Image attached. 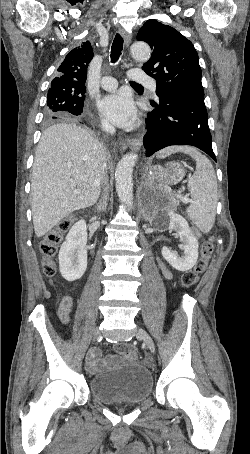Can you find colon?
Instances as JSON below:
<instances>
[{
  "mask_svg": "<svg viewBox=\"0 0 250 454\" xmlns=\"http://www.w3.org/2000/svg\"><path fill=\"white\" fill-rule=\"evenodd\" d=\"M72 224V219L68 218L61 222L57 227L50 230L45 238L40 242V252L45 259L44 273L47 276L55 274V265L52 259L58 251L59 244L63 238L64 232L69 229ZM215 242L213 239L207 240L202 244L200 256L195 266L186 271L181 277V286L183 288L193 287L199 280L200 276L205 272L208 267L209 260L214 252ZM115 351L131 360H136L139 357L136 348L130 344L119 343L115 346Z\"/></svg>",
  "mask_w": 250,
  "mask_h": 454,
  "instance_id": "obj_1",
  "label": "colon"
}]
</instances>
